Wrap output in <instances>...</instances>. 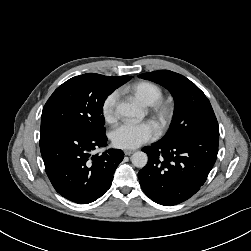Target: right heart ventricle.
I'll list each match as a JSON object with an SVG mask.
<instances>
[{
	"label": "right heart ventricle",
	"mask_w": 251,
	"mask_h": 251,
	"mask_svg": "<svg viewBox=\"0 0 251 251\" xmlns=\"http://www.w3.org/2000/svg\"><path fill=\"white\" fill-rule=\"evenodd\" d=\"M128 90L134 97L146 106H151L163 96L159 85L150 81H140L131 85Z\"/></svg>",
	"instance_id": "right-heart-ventricle-1"
}]
</instances>
